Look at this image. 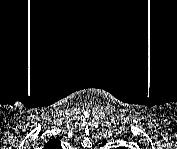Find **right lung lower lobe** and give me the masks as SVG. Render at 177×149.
Masks as SVG:
<instances>
[{
    "label": "right lung lower lobe",
    "mask_w": 177,
    "mask_h": 149,
    "mask_svg": "<svg viewBox=\"0 0 177 149\" xmlns=\"http://www.w3.org/2000/svg\"><path fill=\"white\" fill-rule=\"evenodd\" d=\"M47 146L49 147H55V148H58L60 146V142L58 140V142H54V140H49V143H47Z\"/></svg>",
    "instance_id": "right-lung-lower-lobe-1"
}]
</instances>
